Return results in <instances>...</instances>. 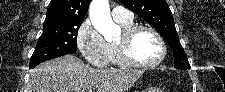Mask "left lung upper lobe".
Listing matches in <instances>:
<instances>
[{
	"instance_id": "1",
	"label": "left lung upper lobe",
	"mask_w": 225,
	"mask_h": 92,
	"mask_svg": "<svg viewBox=\"0 0 225 92\" xmlns=\"http://www.w3.org/2000/svg\"><path fill=\"white\" fill-rule=\"evenodd\" d=\"M130 10L155 27L172 48L174 67L189 69L190 64L180 44L174 25L173 15L165 0H119Z\"/></svg>"
}]
</instances>
